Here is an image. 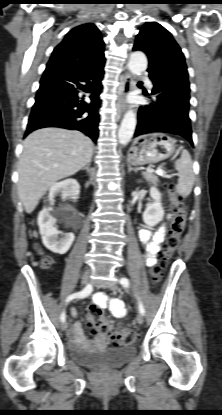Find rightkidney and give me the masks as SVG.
<instances>
[{
  "label": "right kidney",
  "mask_w": 222,
  "mask_h": 415,
  "mask_svg": "<svg viewBox=\"0 0 222 415\" xmlns=\"http://www.w3.org/2000/svg\"><path fill=\"white\" fill-rule=\"evenodd\" d=\"M80 194V185L75 179H66L51 186L48 195L49 206L44 207L38 215V225L43 244L50 251L65 254L71 247L75 236L73 233H62L55 226L56 217H64L65 209L53 210L56 196L77 200ZM59 235H62L59 238Z\"/></svg>",
  "instance_id": "right-kidney-1"
}]
</instances>
